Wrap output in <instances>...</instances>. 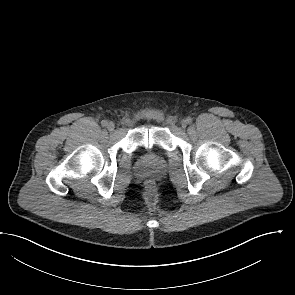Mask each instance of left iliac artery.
<instances>
[{"label":"left iliac artery","instance_id":"obj_1","mask_svg":"<svg viewBox=\"0 0 295 295\" xmlns=\"http://www.w3.org/2000/svg\"><path fill=\"white\" fill-rule=\"evenodd\" d=\"M186 120H187L188 124H191L193 121L191 117H188Z\"/></svg>","mask_w":295,"mask_h":295}]
</instances>
